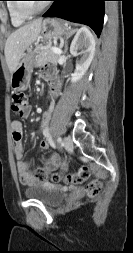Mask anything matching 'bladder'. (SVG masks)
Masks as SVG:
<instances>
[{
    "label": "bladder",
    "mask_w": 133,
    "mask_h": 253,
    "mask_svg": "<svg viewBox=\"0 0 133 253\" xmlns=\"http://www.w3.org/2000/svg\"><path fill=\"white\" fill-rule=\"evenodd\" d=\"M24 193L27 198L40 201L48 206L59 205L65 198V193L63 190L48 184H37L30 186L25 190Z\"/></svg>",
    "instance_id": "1"
}]
</instances>
